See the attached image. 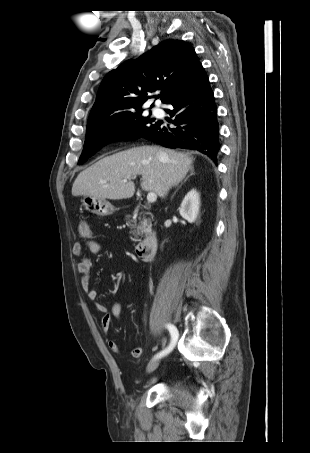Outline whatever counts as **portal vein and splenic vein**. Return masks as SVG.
I'll list each match as a JSON object with an SVG mask.
<instances>
[{
  "label": "portal vein and splenic vein",
  "mask_w": 310,
  "mask_h": 453,
  "mask_svg": "<svg viewBox=\"0 0 310 453\" xmlns=\"http://www.w3.org/2000/svg\"><path fill=\"white\" fill-rule=\"evenodd\" d=\"M123 181H124V182H127V179H124ZM156 199H157L156 193H154V192H149V193H148V195H147V201H148L149 203H154V202L156 201Z\"/></svg>",
  "instance_id": "1"
}]
</instances>
